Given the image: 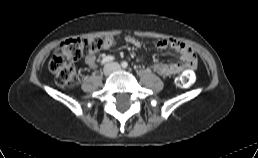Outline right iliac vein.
Segmentation results:
<instances>
[{"label": "right iliac vein", "mask_w": 258, "mask_h": 158, "mask_svg": "<svg viewBox=\"0 0 258 158\" xmlns=\"http://www.w3.org/2000/svg\"><path fill=\"white\" fill-rule=\"evenodd\" d=\"M112 71H113L112 65L111 64H107V65H105V67L103 69V74H104V76L107 77V76H109L112 73Z\"/></svg>", "instance_id": "63e3f726"}]
</instances>
